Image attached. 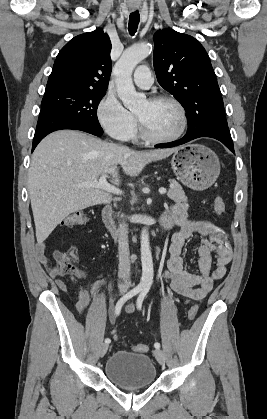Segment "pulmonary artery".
Wrapping results in <instances>:
<instances>
[{
	"label": "pulmonary artery",
	"mask_w": 267,
	"mask_h": 419,
	"mask_svg": "<svg viewBox=\"0 0 267 419\" xmlns=\"http://www.w3.org/2000/svg\"><path fill=\"white\" fill-rule=\"evenodd\" d=\"M133 81L142 89L150 88L153 83V77L150 69L145 65L139 66L134 72Z\"/></svg>",
	"instance_id": "obj_1"
}]
</instances>
